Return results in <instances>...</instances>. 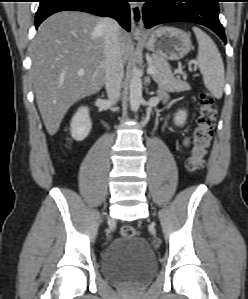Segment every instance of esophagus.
Instances as JSON below:
<instances>
[{
	"label": "esophagus",
	"instance_id": "1",
	"mask_svg": "<svg viewBox=\"0 0 248 299\" xmlns=\"http://www.w3.org/2000/svg\"><path fill=\"white\" fill-rule=\"evenodd\" d=\"M130 14L131 31L135 38H141L144 35L141 6L138 3H131Z\"/></svg>",
	"mask_w": 248,
	"mask_h": 299
}]
</instances>
